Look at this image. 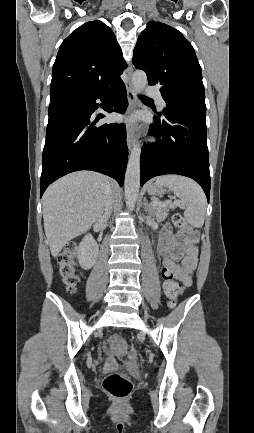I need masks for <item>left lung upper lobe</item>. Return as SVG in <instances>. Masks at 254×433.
I'll return each instance as SVG.
<instances>
[{
  "instance_id": "1",
  "label": "left lung upper lobe",
  "mask_w": 254,
  "mask_h": 433,
  "mask_svg": "<svg viewBox=\"0 0 254 433\" xmlns=\"http://www.w3.org/2000/svg\"><path fill=\"white\" fill-rule=\"evenodd\" d=\"M133 64L146 72L150 85H161L164 113L177 107L206 112L201 67L192 45L178 30L149 22L138 37Z\"/></svg>"
}]
</instances>
